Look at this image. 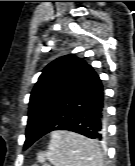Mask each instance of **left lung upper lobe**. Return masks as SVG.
Returning a JSON list of instances; mask_svg holds the SVG:
<instances>
[{
	"label": "left lung upper lobe",
	"mask_w": 135,
	"mask_h": 166,
	"mask_svg": "<svg viewBox=\"0 0 135 166\" xmlns=\"http://www.w3.org/2000/svg\"><path fill=\"white\" fill-rule=\"evenodd\" d=\"M85 66L73 54L48 64L31 92L28 123H44L63 108Z\"/></svg>",
	"instance_id": "5c2ea615"
}]
</instances>
